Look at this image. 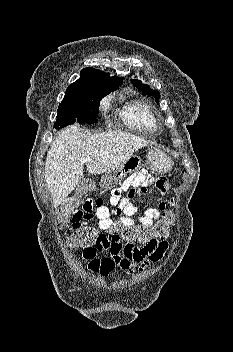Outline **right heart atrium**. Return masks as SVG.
Instances as JSON below:
<instances>
[{"label": "right heart atrium", "instance_id": "obj_1", "mask_svg": "<svg viewBox=\"0 0 233 352\" xmlns=\"http://www.w3.org/2000/svg\"><path fill=\"white\" fill-rule=\"evenodd\" d=\"M107 106H108V101H107V100H104V101L102 102V104H101V108H102V109H105V108H107Z\"/></svg>", "mask_w": 233, "mask_h": 352}]
</instances>
